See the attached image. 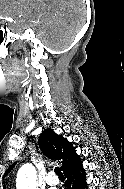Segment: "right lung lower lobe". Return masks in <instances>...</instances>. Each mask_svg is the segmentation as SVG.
I'll return each mask as SVG.
<instances>
[{"mask_svg":"<svg viewBox=\"0 0 124 189\" xmlns=\"http://www.w3.org/2000/svg\"><path fill=\"white\" fill-rule=\"evenodd\" d=\"M66 177L64 189H87L86 175L81 160L64 172Z\"/></svg>","mask_w":124,"mask_h":189,"instance_id":"right-lung-lower-lobe-1","label":"right lung lower lobe"}]
</instances>
